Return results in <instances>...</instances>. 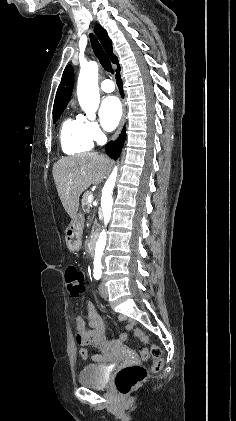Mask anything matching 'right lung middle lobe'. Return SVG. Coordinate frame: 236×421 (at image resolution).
I'll list each match as a JSON object with an SVG mask.
<instances>
[{
    "mask_svg": "<svg viewBox=\"0 0 236 421\" xmlns=\"http://www.w3.org/2000/svg\"><path fill=\"white\" fill-rule=\"evenodd\" d=\"M65 108L53 110V123H56L58 118L61 116Z\"/></svg>",
    "mask_w": 236,
    "mask_h": 421,
    "instance_id": "obj_1",
    "label": "right lung middle lobe"
}]
</instances>
